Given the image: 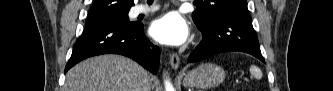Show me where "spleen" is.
<instances>
[{"label":"spleen","mask_w":333,"mask_h":91,"mask_svg":"<svg viewBox=\"0 0 333 91\" xmlns=\"http://www.w3.org/2000/svg\"><path fill=\"white\" fill-rule=\"evenodd\" d=\"M250 74L256 79H260L262 77L261 70L255 65L250 66Z\"/></svg>","instance_id":"spleen-1"}]
</instances>
